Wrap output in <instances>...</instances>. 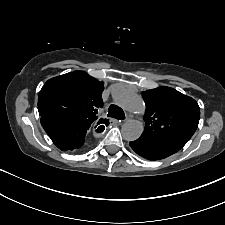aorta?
Returning a JSON list of instances; mask_svg holds the SVG:
<instances>
[{"mask_svg":"<svg viewBox=\"0 0 225 225\" xmlns=\"http://www.w3.org/2000/svg\"><path fill=\"white\" fill-rule=\"evenodd\" d=\"M115 103L132 113H143L145 104L143 99L136 93L124 88H120L114 94ZM144 130V124L138 120H128L122 126L123 138L127 141H134L138 139Z\"/></svg>","mask_w":225,"mask_h":225,"instance_id":"obj_1","label":"aorta"}]
</instances>
